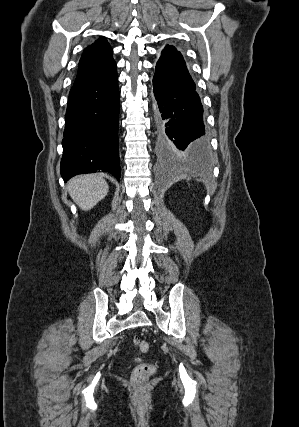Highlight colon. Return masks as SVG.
I'll return each instance as SVG.
<instances>
[{
	"instance_id": "5ec220e1",
	"label": "colon",
	"mask_w": 299,
	"mask_h": 427,
	"mask_svg": "<svg viewBox=\"0 0 299 427\" xmlns=\"http://www.w3.org/2000/svg\"><path fill=\"white\" fill-rule=\"evenodd\" d=\"M135 345L141 352L149 350V344L146 341L135 339ZM156 367L152 363L140 364L135 367L132 373V381L138 387H144L149 377L155 372Z\"/></svg>"
}]
</instances>
